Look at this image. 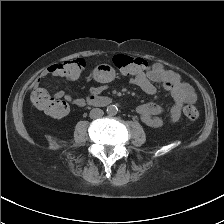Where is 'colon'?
Wrapping results in <instances>:
<instances>
[{
    "instance_id": "obj_1",
    "label": "colon",
    "mask_w": 224,
    "mask_h": 224,
    "mask_svg": "<svg viewBox=\"0 0 224 224\" xmlns=\"http://www.w3.org/2000/svg\"><path fill=\"white\" fill-rule=\"evenodd\" d=\"M113 64L123 74L128 76L143 73L151 67V65L143 58L128 55L114 56ZM84 67L85 61L82 58L68 59L59 62L57 65V69L61 76L68 80L78 78ZM31 99L35 107L54 118H62L69 111V106L65 101L52 97L43 89L35 90L32 93ZM182 112L187 121L194 122L199 118L198 109L191 104L185 105Z\"/></svg>"
}]
</instances>
